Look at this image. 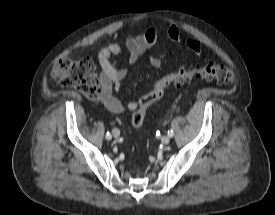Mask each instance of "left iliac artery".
<instances>
[{
  "label": "left iliac artery",
  "instance_id": "obj_1",
  "mask_svg": "<svg viewBox=\"0 0 275 215\" xmlns=\"http://www.w3.org/2000/svg\"><path fill=\"white\" fill-rule=\"evenodd\" d=\"M173 135H174L173 130L172 129L168 130V136L169 137H173Z\"/></svg>",
  "mask_w": 275,
  "mask_h": 215
}]
</instances>
